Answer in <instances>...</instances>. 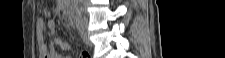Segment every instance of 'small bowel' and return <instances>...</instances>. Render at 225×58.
<instances>
[{
	"mask_svg": "<svg viewBox=\"0 0 225 58\" xmlns=\"http://www.w3.org/2000/svg\"><path fill=\"white\" fill-rule=\"evenodd\" d=\"M39 25L41 27L45 26L44 20L39 19ZM47 29L50 31V34L53 38L51 46L48 48L46 45H42L40 48V52L42 54L43 58H70V56H63L59 54L56 50V47H59L63 51H66L67 53L71 54L74 52V47L70 43L62 40L61 38L56 36L55 32V23L53 20H49L46 23Z\"/></svg>",
	"mask_w": 225,
	"mask_h": 58,
	"instance_id": "1",
	"label": "small bowel"
}]
</instances>
